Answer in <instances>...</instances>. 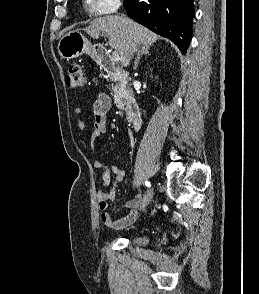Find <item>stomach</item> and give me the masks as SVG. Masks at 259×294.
<instances>
[{
	"label": "stomach",
	"instance_id": "1",
	"mask_svg": "<svg viewBox=\"0 0 259 294\" xmlns=\"http://www.w3.org/2000/svg\"><path fill=\"white\" fill-rule=\"evenodd\" d=\"M58 52L63 59L69 60L82 54H90L91 46L79 30H72L59 40Z\"/></svg>",
	"mask_w": 259,
	"mask_h": 294
}]
</instances>
